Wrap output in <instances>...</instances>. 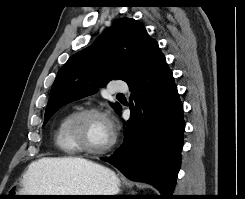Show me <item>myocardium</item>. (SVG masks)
Listing matches in <instances>:
<instances>
[{
    "mask_svg": "<svg viewBox=\"0 0 245 199\" xmlns=\"http://www.w3.org/2000/svg\"><path fill=\"white\" fill-rule=\"evenodd\" d=\"M101 116L104 117L111 127V139L107 145L102 148H90L86 146L78 137L80 123L89 116ZM67 135L72 142L73 147L78 151L88 155H102L109 152L116 144L117 135L111 120L109 113L103 109L90 107L76 111L71 116L67 124Z\"/></svg>",
    "mask_w": 245,
    "mask_h": 199,
    "instance_id": "1",
    "label": "myocardium"
}]
</instances>
